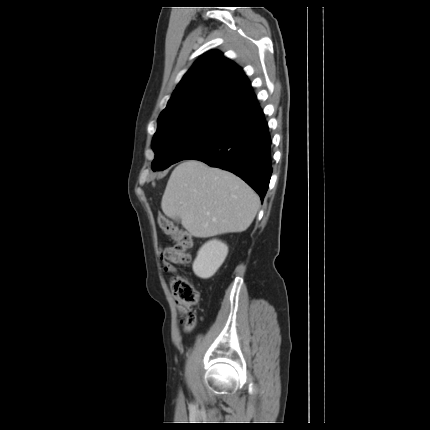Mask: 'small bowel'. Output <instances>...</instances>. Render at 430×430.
<instances>
[{"mask_svg":"<svg viewBox=\"0 0 430 430\" xmlns=\"http://www.w3.org/2000/svg\"><path fill=\"white\" fill-rule=\"evenodd\" d=\"M161 262L164 263V270L166 272H174L175 271V268L172 265L165 263L166 262L165 258H162Z\"/></svg>","mask_w":430,"mask_h":430,"instance_id":"c3829d8e","label":"small bowel"}]
</instances>
